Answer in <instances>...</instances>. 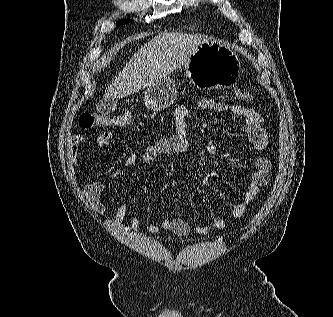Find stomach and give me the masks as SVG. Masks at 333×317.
<instances>
[{"instance_id":"obj_1","label":"stomach","mask_w":333,"mask_h":317,"mask_svg":"<svg viewBox=\"0 0 333 317\" xmlns=\"http://www.w3.org/2000/svg\"><path fill=\"white\" fill-rule=\"evenodd\" d=\"M185 73L199 89H224L232 86L241 72L239 57L228 45L209 40L197 46L184 63ZM175 83L168 77L149 85L144 102L148 109L161 111L176 98Z\"/></svg>"}]
</instances>
